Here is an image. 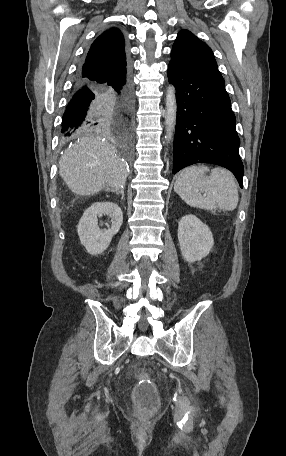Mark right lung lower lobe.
I'll return each mask as SVG.
<instances>
[{"label":"right lung lower lobe","mask_w":286,"mask_h":456,"mask_svg":"<svg viewBox=\"0 0 286 456\" xmlns=\"http://www.w3.org/2000/svg\"><path fill=\"white\" fill-rule=\"evenodd\" d=\"M133 125V94L128 74L99 82L79 71L72 97L63 114L61 137L98 129H111L130 141Z\"/></svg>","instance_id":"1"}]
</instances>
